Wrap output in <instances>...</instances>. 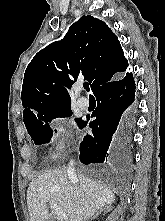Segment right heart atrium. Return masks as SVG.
<instances>
[{"instance_id":"right-heart-atrium-1","label":"right heart atrium","mask_w":165,"mask_h":221,"mask_svg":"<svg viewBox=\"0 0 165 221\" xmlns=\"http://www.w3.org/2000/svg\"><path fill=\"white\" fill-rule=\"evenodd\" d=\"M73 141V132L69 120L64 116L56 117L52 122V154L63 155Z\"/></svg>"}]
</instances>
